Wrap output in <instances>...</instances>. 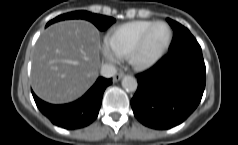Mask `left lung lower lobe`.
<instances>
[{"mask_svg": "<svg viewBox=\"0 0 238 145\" xmlns=\"http://www.w3.org/2000/svg\"><path fill=\"white\" fill-rule=\"evenodd\" d=\"M168 23L174 31L173 44L154 67L137 75L138 88L131 100L135 117L153 129H169L187 119L200 103L206 82L197 40L178 22Z\"/></svg>", "mask_w": 238, "mask_h": 145, "instance_id": "1", "label": "left lung lower lobe"}]
</instances>
